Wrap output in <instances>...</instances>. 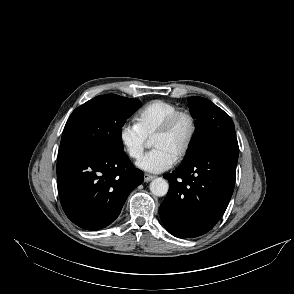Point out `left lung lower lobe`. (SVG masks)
I'll list each match as a JSON object with an SVG mask.
<instances>
[{
    "label": "left lung lower lobe",
    "instance_id": "1",
    "mask_svg": "<svg viewBox=\"0 0 294 294\" xmlns=\"http://www.w3.org/2000/svg\"><path fill=\"white\" fill-rule=\"evenodd\" d=\"M238 154L236 136L225 137L165 175L170 187L160 217L168 232L190 238L215 226L234 190Z\"/></svg>",
    "mask_w": 294,
    "mask_h": 294
}]
</instances>
